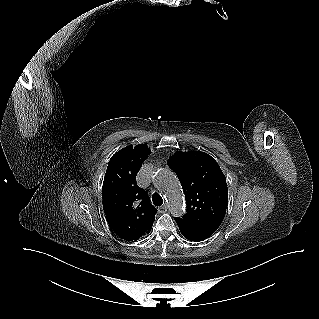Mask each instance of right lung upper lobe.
<instances>
[{"label": "right lung upper lobe", "mask_w": 319, "mask_h": 319, "mask_svg": "<svg viewBox=\"0 0 319 319\" xmlns=\"http://www.w3.org/2000/svg\"><path fill=\"white\" fill-rule=\"evenodd\" d=\"M150 153L144 144L129 145L108 163L102 187L103 209L111 229L124 240H138L148 234L155 220L157 210L136 183V175Z\"/></svg>", "instance_id": "cb5924a9"}]
</instances>
